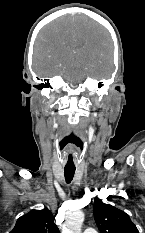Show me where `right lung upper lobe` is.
<instances>
[{
	"label": "right lung upper lobe",
	"mask_w": 145,
	"mask_h": 233,
	"mask_svg": "<svg viewBox=\"0 0 145 233\" xmlns=\"http://www.w3.org/2000/svg\"><path fill=\"white\" fill-rule=\"evenodd\" d=\"M53 220L54 217L47 208L31 210L17 220L11 233H59Z\"/></svg>",
	"instance_id": "cb5924a9"
}]
</instances>
